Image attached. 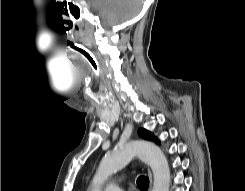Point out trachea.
<instances>
[{
    "instance_id": "obj_1",
    "label": "trachea",
    "mask_w": 245,
    "mask_h": 191,
    "mask_svg": "<svg viewBox=\"0 0 245 191\" xmlns=\"http://www.w3.org/2000/svg\"><path fill=\"white\" fill-rule=\"evenodd\" d=\"M80 55L83 59L93 68V70L99 75V64L94 55L87 49H79ZM137 185L141 190H147L149 186V179L146 176H140L137 179Z\"/></svg>"
}]
</instances>
